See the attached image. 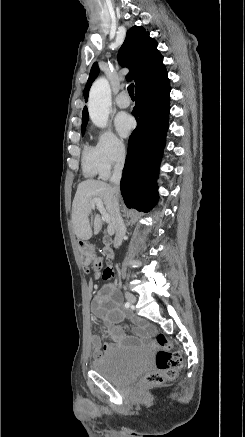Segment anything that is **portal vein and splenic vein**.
I'll return each instance as SVG.
<instances>
[{
  "label": "portal vein and splenic vein",
  "mask_w": 245,
  "mask_h": 437,
  "mask_svg": "<svg viewBox=\"0 0 245 437\" xmlns=\"http://www.w3.org/2000/svg\"><path fill=\"white\" fill-rule=\"evenodd\" d=\"M90 206L91 208H95L96 206L99 212L101 213L103 220L106 222L110 221L109 214L106 212L103 202L100 198H93L90 202Z\"/></svg>",
  "instance_id": "1"
}]
</instances>
